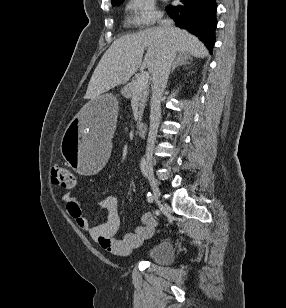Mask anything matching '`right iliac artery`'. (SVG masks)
<instances>
[{"mask_svg": "<svg viewBox=\"0 0 286 308\" xmlns=\"http://www.w3.org/2000/svg\"><path fill=\"white\" fill-rule=\"evenodd\" d=\"M140 168H141V171H142V174L144 175V177L147 178L148 177V172H147V169H146V161H145L144 157L141 159ZM147 200L150 203L153 202V196H152V194L150 192H148V194H147ZM155 214L157 216L160 215V211L157 209L155 211Z\"/></svg>", "mask_w": 286, "mask_h": 308, "instance_id": "1", "label": "right iliac artery"}]
</instances>
